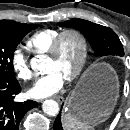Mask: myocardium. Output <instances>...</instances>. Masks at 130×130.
<instances>
[{"label":"myocardium","mask_w":130,"mask_h":130,"mask_svg":"<svg viewBox=\"0 0 130 130\" xmlns=\"http://www.w3.org/2000/svg\"><path fill=\"white\" fill-rule=\"evenodd\" d=\"M68 35L75 36L79 40L81 46V55L76 68L65 78L67 81H73L77 79L83 72L88 58V40L84 33L76 28H68L61 31L51 43L47 55L50 58L57 57L62 41Z\"/></svg>","instance_id":"myocardium-1"}]
</instances>
